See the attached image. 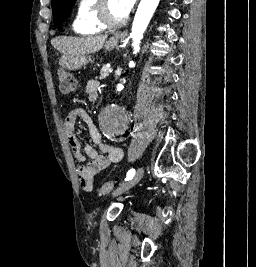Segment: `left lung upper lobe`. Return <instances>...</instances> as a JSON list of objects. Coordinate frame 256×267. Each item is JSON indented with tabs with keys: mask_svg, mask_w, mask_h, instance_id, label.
<instances>
[{
	"mask_svg": "<svg viewBox=\"0 0 256 267\" xmlns=\"http://www.w3.org/2000/svg\"><path fill=\"white\" fill-rule=\"evenodd\" d=\"M76 0H52L54 23L57 28L68 18Z\"/></svg>",
	"mask_w": 256,
	"mask_h": 267,
	"instance_id": "obj_1",
	"label": "left lung upper lobe"
}]
</instances>
